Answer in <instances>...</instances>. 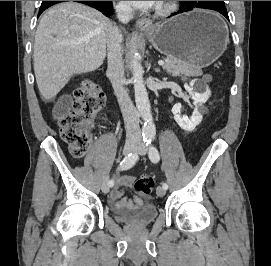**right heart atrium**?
Masks as SVG:
<instances>
[{
  "label": "right heart atrium",
  "instance_id": "1",
  "mask_svg": "<svg viewBox=\"0 0 271 266\" xmlns=\"http://www.w3.org/2000/svg\"><path fill=\"white\" fill-rule=\"evenodd\" d=\"M117 8L122 13H126V12L129 11V8H128V6L126 5V3L124 1H120Z\"/></svg>",
  "mask_w": 271,
  "mask_h": 266
}]
</instances>
